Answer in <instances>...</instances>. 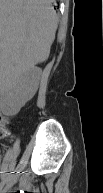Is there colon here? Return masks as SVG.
<instances>
[{
	"mask_svg": "<svg viewBox=\"0 0 103 193\" xmlns=\"http://www.w3.org/2000/svg\"><path fill=\"white\" fill-rule=\"evenodd\" d=\"M8 129L6 128V127H4V126H2L1 127V137L2 138H7L6 136H7V134H8Z\"/></svg>",
	"mask_w": 103,
	"mask_h": 193,
	"instance_id": "5ec220e1",
	"label": "colon"
}]
</instances>
